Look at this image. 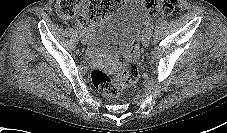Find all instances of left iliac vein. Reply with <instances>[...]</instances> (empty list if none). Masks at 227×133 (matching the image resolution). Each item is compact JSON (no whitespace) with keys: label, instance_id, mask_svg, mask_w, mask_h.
Masks as SVG:
<instances>
[{"label":"left iliac vein","instance_id":"4c4485c4","mask_svg":"<svg viewBox=\"0 0 227 133\" xmlns=\"http://www.w3.org/2000/svg\"><path fill=\"white\" fill-rule=\"evenodd\" d=\"M151 40V33L148 30H145L141 37V42L144 46H148Z\"/></svg>","mask_w":227,"mask_h":133}]
</instances>
